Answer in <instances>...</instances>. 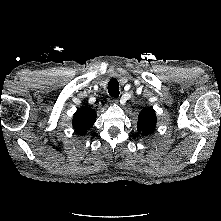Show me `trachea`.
<instances>
[{
  "instance_id": "1",
  "label": "trachea",
  "mask_w": 221,
  "mask_h": 221,
  "mask_svg": "<svg viewBox=\"0 0 221 221\" xmlns=\"http://www.w3.org/2000/svg\"><path fill=\"white\" fill-rule=\"evenodd\" d=\"M108 93L113 98L119 97V94H120V92H119V82L117 81V79L112 78L108 82Z\"/></svg>"
}]
</instances>
